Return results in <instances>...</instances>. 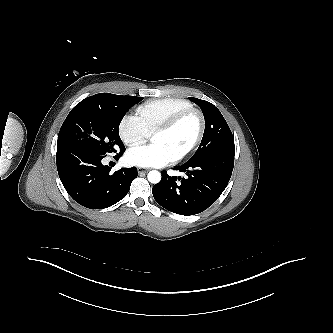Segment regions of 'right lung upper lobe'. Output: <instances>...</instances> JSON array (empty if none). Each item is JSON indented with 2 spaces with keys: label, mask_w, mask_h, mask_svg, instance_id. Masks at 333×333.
<instances>
[{
  "label": "right lung upper lobe",
  "mask_w": 333,
  "mask_h": 333,
  "mask_svg": "<svg viewBox=\"0 0 333 333\" xmlns=\"http://www.w3.org/2000/svg\"><path fill=\"white\" fill-rule=\"evenodd\" d=\"M106 93H100V94H96V95H93V96H90L88 98L90 99H100L101 97H103Z\"/></svg>",
  "instance_id": "cb5924a9"
}]
</instances>
